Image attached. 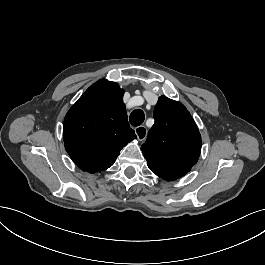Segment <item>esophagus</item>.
I'll use <instances>...</instances> for the list:
<instances>
[{
  "mask_svg": "<svg viewBox=\"0 0 265 265\" xmlns=\"http://www.w3.org/2000/svg\"><path fill=\"white\" fill-rule=\"evenodd\" d=\"M134 131L139 141H143L148 133V130L145 126H137L135 127Z\"/></svg>",
  "mask_w": 265,
  "mask_h": 265,
  "instance_id": "obj_1",
  "label": "esophagus"
}]
</instances>
